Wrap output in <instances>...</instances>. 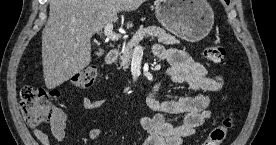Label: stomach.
<instances>
[{
  "instance_id": "0dacf381",
  "label": "stomach",
  "mask_w": 276,
  "mask_h": 145,
  "mask_svg": "<svg viewBox=\"0 0 276 145\" xmlns=\"http://www.w3.org/2000/svg\"><path fill=\"white\" fill-rule=\"evenodd\" d=\"M155 15L166 30L189 42L204 39L214 24V12L206 0H158Z\"/></svg>"
}]
</instances>
